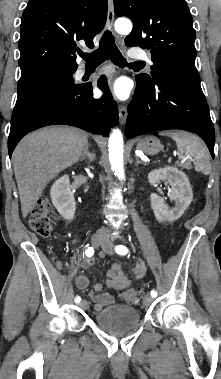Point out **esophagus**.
I'll return each instance as SVG.
<instances>
[{
    "label": "esophagus",
    "mask_w": 221,
    "mask_h": 379,
    "mask_svg": "<svg viewBox=\"0 0 221 379\" xmlns=\"http://www.w3.org/2000/svg\"><path fill=\"white\" fill-rule=\"evenodd\" d=\"M114 23V2L113 0H108V12H107V26L112 30ZM127 107L123 104L119 106V121L120 124L124 125L127 119Z\"/></svg>",
    "instance_id": "1"
}]
</instances>
